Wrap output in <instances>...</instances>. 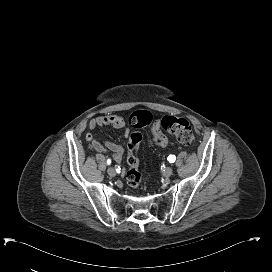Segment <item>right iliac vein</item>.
<instances>
[{
	"label": "right iliac vein",
	"instance_id": "63e3f726",
	"mask_svg": "<svg viewBox=\"0 0 272 272\" xmlns=\"http://www.w3.org/2000/svg\"><path fill=\"white\" fill-rule=\"evenodd\" d=\"M107 173L109 176L114 177L116 175V171L114 168H108Z\"/></svg>",
	"mask_w": 272,
	"mask_h": 272
}]
</instances>
